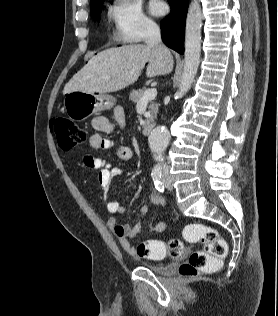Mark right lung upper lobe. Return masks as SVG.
Returning a JSON list of instances; mask_svg holds the SVG:
<instances>
[{
  "mask_svg": "<svg viewBox=\"0 0 278 316\" xmlns=\"http://www.w3.org/2000/svg\"><path fill=\"white\" fill-rule=\"evenodd\" d=\"M102 1H104V0H91V8L96 6L97 4H99Z\"/></svg>",
  "mask_w": 278,
  "mask_h": 316,
  "instance_id": "right-lung-upper-lobe-1",
  "label": "right lung upper lobe"
}]
</instances>
